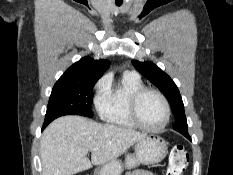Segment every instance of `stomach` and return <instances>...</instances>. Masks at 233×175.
I'll use <instances>...</instances> for the list:
<instances>
[{"label": "stomach", "instance_id": "obj_1", "mask_svg": "<svg viewBox=\"0 0 233 175\" xmlns=\"http://www.w3.org/2000/svg\"><path fill=\"white\" fill-rule=\"evenodd\" d=\"M168 148L165 140L156 135H148L135 145V153L128 154L125 165L120 160H112L99 166L94 175H121L124 167L132 169L140 164H157L167 155Z\"/></svg>", "mask_w": 233, "mask_h": 175}]
</instances>
